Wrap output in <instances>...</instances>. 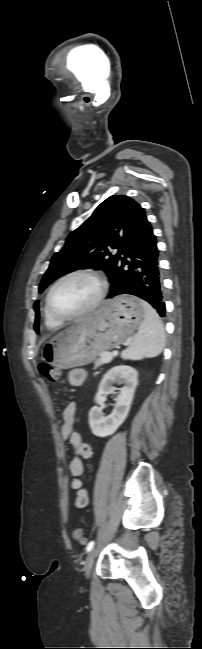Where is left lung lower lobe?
Here are the masks:
<instances>
[{
  "mask_svg": "<svg viewBox=\"0 0 202 649\" xmlns=\"http://www.w3.org/2000/svg\"><path fill=\"white\" fill-rule=\"evenodd\" d=\"M158 253L156 237L144 216L127 234L120 247V258L111 274L112 291L107 298L121 294L135 295L149 302L164 316Z\"/></svg>",
  "mask_w": 202,
  "mask_h": 649,
  "instance_id": "1",
  "label": "left lung lower lobe"
}]
</instances>
